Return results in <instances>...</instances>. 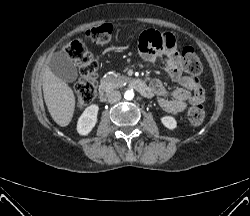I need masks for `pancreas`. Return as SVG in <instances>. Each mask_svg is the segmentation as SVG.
I'll use <instances>...</instances> for the list:
<instances>
[{"mask_svg": "<svg viewBox=\"0 0 250 216\" xmlns=\"http://www.w3.org/2000/svg\"><path fill=\"white\" fill-rule=\"evenodd\" d=\"M128 80V77L120 74H109L103 79V83L109 86L111 89H115Z\"/></svg>", "mask_w": 250, "mask_h": 216, "instance_id": "1", "label": "pancreas"}]
</instances>
